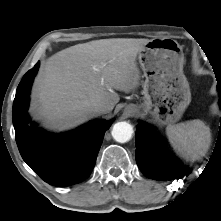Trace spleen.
Here are the masks:
<instances>
[{"mask_svg": "<svg viewBox=\"0 0 221 221\" xmlns=\"http://www.w3.org/2000/svg\"><path fill=\"white\" fill-rule=\"evenodd\" d=\"M166 134L175 151L187 159L205 156L211 144L210 128L199 119L168 125Z\"/></svg>", "mask_w": 221, "mask_h": 221, "instance_id": "spleen-1", "label": "spleen"}]
</instances>
